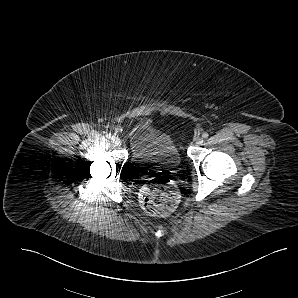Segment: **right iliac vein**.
<instances>
[{
	"label": "right iliac vein",
	"instance_id": "right-iliac-vein-1",
	"mask_svg": "<svg viewBox=\"0 0 298 298\" xmlns=\"http://www.w3.org/2000/svg\"><path fill=\"white\" fill-rule=\"evenodd\" d=\"M113 143L116 145V146H120L121 145V140L119 138H113Z\"/></svg>",
	"mask_w": 298,
	"mask_h": 298
}]
</instances>
